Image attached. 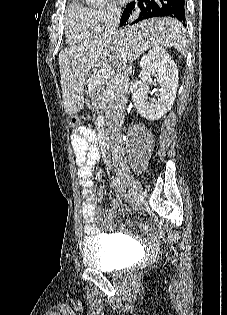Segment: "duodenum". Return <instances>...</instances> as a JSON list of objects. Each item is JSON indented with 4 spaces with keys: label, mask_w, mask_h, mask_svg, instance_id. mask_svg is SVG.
<instances>
[{
    "label": "duodenum",
    "mask_w": 227,
    "mask_h": 315,
    "mask_svg": "<svg viewBox=\"0 0 227 315\" xmlns=\"http://www.w3.org/2000/svg\"><path fill=\"white\" fill-rule=\"evenodd\" d=\"M112 139V135L111 134H107L104 138V142L105 143H110Z\"/></svg>",
    "instance_id": "410a0bca"
}]
</instances>
